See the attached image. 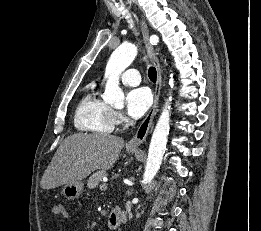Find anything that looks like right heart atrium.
<instances>
[{"mask_svg":"<svg viewBox=\"0 0 261 231\" xmlns=\"http://www.w3.org/2000/svg\"><path fill=\"white\" fill-rule=\"evenodd\" d=\"M113 116H114L115 124H121L124 120L120 112H114Z\"/></svg>","mask_w":261,"mask_h":231,"instance_id":"obj_1","label":"right heart atrium"}]
</instances>
